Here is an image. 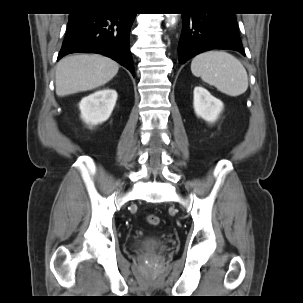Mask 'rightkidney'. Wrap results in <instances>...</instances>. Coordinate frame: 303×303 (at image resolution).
<instances>
[{"label": "right kidney", "instance_id": "ca27d5eb", "mask_svg": "<svg viewBox=\"0 0 303 303\" xmlns=\"http://www.w3.org/2000/svg\"><path fill=\"white\" fill-rule=\"evenodd\" d=\"M117 100L114 89H102L90 94L79 103L82 120L91 126L101 124L109 119Z\"/></svg>", "mask_w": 303, "mask_h": 303}]
</instances>
